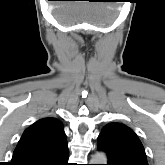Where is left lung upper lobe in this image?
<instances>
[{
	"label": "left lung upper lobe",
	"mask_w": 165,
	"mask_h": 165,
	"mask_svg": "<svg viewBox=\"0 0 165 165\" xmlns=\"http://www.w3.org/2000/svg\"><path fill=\"white\" fill-rule=\"evenodd\" d=\"M97 148L107 153V165H148L142 143L123 124H107L98 137Z\"/></svg>",
	"instance_id": "obj_1"
}]
</instances>
